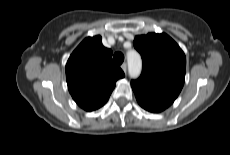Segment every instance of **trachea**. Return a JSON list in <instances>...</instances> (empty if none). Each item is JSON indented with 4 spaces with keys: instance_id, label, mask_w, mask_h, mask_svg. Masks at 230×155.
<instances>
[{
    "instance_id": "1",
    "label": "trachea",
    "mask_w": 230,
    "mask_h": 155,
    "mask_svg": "<svg viewBox=\"0 0 230 155\" xmlns=\"http://www.w3.org/2000/svg\"><path fill=\"white\" fill-rule=\"evenodd\" d=\"M113 59H114V62H115L117 65H120V64H122L123 61H124V55H123L121 52H116V53L114 54Z\"/></svg>"
}]
</instances>
